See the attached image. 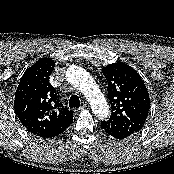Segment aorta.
<instances>
[{
  "instance_id": "1",
  "label": "aorta",
  "mask_w": 174,
  "mask_h": 174,
  "mask_svg": "<svg viewBox=\"0 0 174 174\" xmlns=\"http://www.w3.org/2000/svg\"><path fill=\"white\" fill-rule=\"evenodd\" d=\"M66 79L85 95L97 118L104 120L108 117L109 107L106 99L89 72L80 66L72 65L66 70Z\"/></svg>"
}]
</instances>
